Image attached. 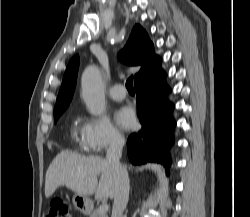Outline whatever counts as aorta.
<instances>
[{"mask_svg":"<svg viewBox=\"0 0 250 217\" xmlns=\"http://www.w3.org/2000/svg\"><path fill=\"white\" fill-rule=\"evenodd\" d=\"M82 97L89 112L100 116L106 108L104 84L96 66L87 67L81 78Z\"/></svg>","mask_w":250,"mask_h":217,"instance_id":"aorta-1","label":"aorta"}]
</instances>
